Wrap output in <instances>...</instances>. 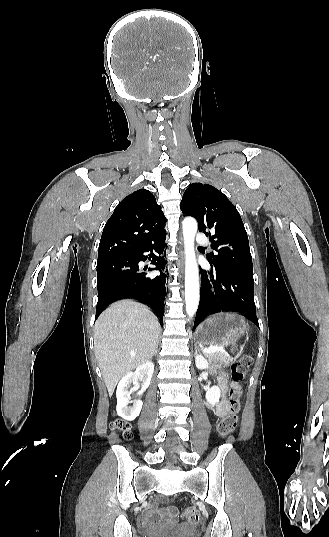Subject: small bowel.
Instances as JSON below:
<instances>
[{
    "instance_id": "small-bowel-1",
    "label": "small bowel",
    "mask_w": 329,
    "mask_h": 537,
    "mask_svg": "<svg viewBox=\"0 0 329 537\" xmlns=\"http://www.w3.org/2000/svg\"><path fill=\"white\" fill-rule=\"evenodd\" d=\"M218 386L221 400L215 408V415L218 419L223 420L227 417L230 409V404L226 399L228 384L226 383L224 378H221L219 380ZM230 386L236 387L238 386V383L233 381L231 382ZM146 518L150 521L161 520L164 524L174 525L176 524L178 519V511L174 506L161 507L157 509L155 502H150L147 507Z\"/></svg>"
}]
</instances>
